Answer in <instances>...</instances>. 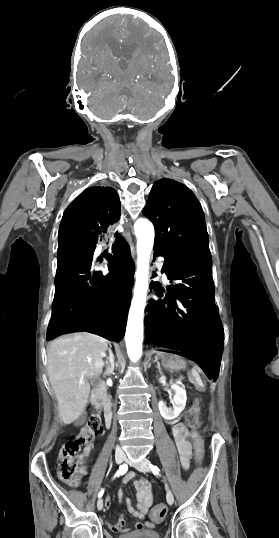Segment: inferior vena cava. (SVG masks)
<instances>
[{"label":"inferior vena cava","instance_id":"602c4592","mask_svg":"<svg viewBox=\"0 0 279 538\" xmlns=\"http://www.w3.org/2000/svg\"><path fill=\"white\" fill-rule=\"evenodd\" d=\"M101 355H102V356H105V353L102 352ZM106 363H108V362L106 361ZM113 367H114V366H113ZM111 382H112V381H111ZM111 382H110V383H111ZM110 383H107V384H110ZM116 456H121V457L123 458V460H124V458H126V457H125L126 455L124 454V452H122V450H121V448H120L119 446L116 447V454H115V457H116Z\"/></svg>","mask_w":279,"mask_h":538}]
</instances>
